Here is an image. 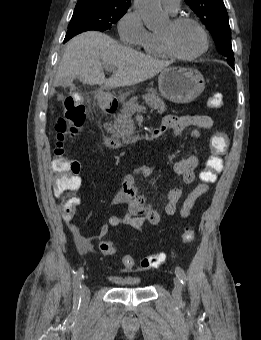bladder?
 Masks as SVG:
<instances>
[{
    "label": "bladder",
    "instance_id": "1",
    "mask_svg": "<svg viewBox=\"0 0 261 340\" xmlns=\"http://www.w3.org/2000/svg\"><path fill=\"white\" fill-rule=\"evenodd\" d=\"M109 279L120 287H139L141 286V278L139 277H121L116 275L109 276Z\"/></svg>",
    "mask_w": 261,
    "mask_h": 340
}]
</instances>
